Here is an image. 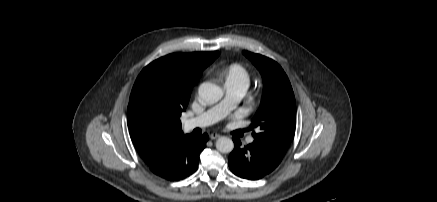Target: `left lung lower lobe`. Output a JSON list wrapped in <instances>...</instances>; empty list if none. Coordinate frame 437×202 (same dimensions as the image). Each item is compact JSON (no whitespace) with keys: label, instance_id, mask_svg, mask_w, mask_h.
I'll use <instances>...</instances> for the list:
<instances>
[{"label":"left lung lower lobe","instance_id":"left-lung-lower-lobe-1","mask_svg":"<svg viewBox=\"0 0 437 202\" xmlns=\"http://www.w3.org/2000/svg\"><path fill=\"white\" fill-rule=\"evenodd\" d=\"M232 139L235 148L228 158L229 167L235 175L241 178L249 180L261 179L275 170L281 162L273 158L254 142L242 147L237 137Z\"/></svg>","mask_w":437,"mask_h":202}]
</instances>
